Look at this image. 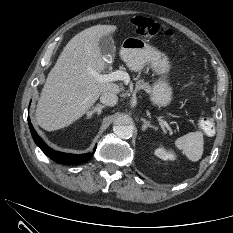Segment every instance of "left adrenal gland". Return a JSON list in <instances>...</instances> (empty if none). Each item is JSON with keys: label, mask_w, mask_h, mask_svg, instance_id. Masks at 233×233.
Returning <instances> with one entry per match:
<instances>
[{"label": "left adrenal gland", "mask_w": 233, "mask_h": 233, "mask_svg": "<svg viewBox=\"0 0 233 233\" xmlns=\"http://www.w3.org/2000/svg\"><path fill=\"white\" fill-rule=\"evenodd\" d=\"M143 125H142V131H145L148 127L157 130L158 128L154 125H151L149 121L145 120L144 118H141Z\"/></svg>", "instance_id": "a2214340"}]
</instances>
